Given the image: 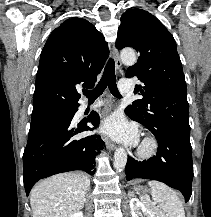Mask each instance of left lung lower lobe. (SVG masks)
<instances>
[{
  "mask_svg": "<svg viewBox=\"0 0 211 217\" xmlns=\"http://www.w3.org/2000/svg\"><path fill=\"white\" fill-rule=\"evenodd\" d=\"M125 113L129 116L126 109ZM151 132L158 140V153L142 162L128 157L125 168L127 180L143 178L163 182L179 190L187 202L192 194L193 179L190 138L166 129Z\"/></svg>",
  "mask_w": 211,
  "mask_h": 217,
  "instance_id": "1",
  "label": "left lung lower lobe"
}]
</instances>
